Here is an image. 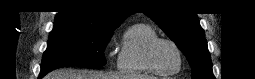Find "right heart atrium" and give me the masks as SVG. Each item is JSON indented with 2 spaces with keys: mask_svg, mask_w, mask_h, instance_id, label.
Listing matches in <instances>:
<instances>
[{
  "mask_svg": "<svg viewBox=\"0 0 255 79\" xmlns=\"http://www.w3.org/2000/svg\"><path fill=\"white\" fill-rule=\"evenodd\" d=\"M111 41H112V37L108 40V42H107V47H109V46H110Z\"/></svg>",
  "mask_w": 255,
  "mask_h": 79,
  "instance_id": "d8ad5b80",
  "label": "right heart atrium"
}]
</instances>
